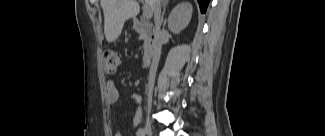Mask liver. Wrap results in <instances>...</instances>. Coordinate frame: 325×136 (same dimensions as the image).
<instances>
[{"instance_id":"obj_1","label":"liver","mask_w":325,"mask_h":136,"mask_svg":"<svg viewBox=\"0 0 325 136\" xmlns=\"http://www.w3.org/2000/svg\"><path fill=\"white\" fill-rule=\"evenodd\" d=\"M154 1L145 0L151 11ZM101 7L104 13V33L109 43L120 36L125 21L136 17L140 11L137 0H101Z\"/></svg>"}]
</instances>
